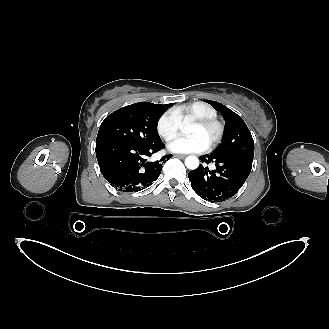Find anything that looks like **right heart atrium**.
Returning <instances> with one entry per match:
<instances>
[{
	"mask_svg": "<svg viewBox=\"0 0 329 329\" xmlns=\"http://www.w3.org/2000/svg\"><path fill=\"white\" fill-rule=\"evenodd\" d=\"M180 120L174 110L162 113L156 122V131L165 141L175 138L179 132Z\"/></svg>",
	"mask_w": 329,
	"mask_h": 329,
	"instance_id": "d8ad5b80",
	"label": "right heart atrium"
}]
</instances>
